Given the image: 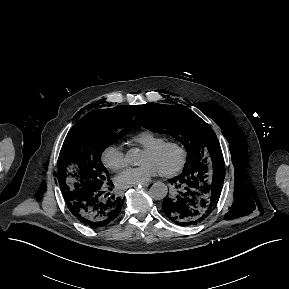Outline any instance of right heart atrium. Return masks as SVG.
Segmentation results:
<instances>
[{"label":"right heart atrium","mask_w":289,"mask_h":289,"mask_svg":"<svg viewBox=\"0 0 289 289\" xmlns=\"http://www.w3.org/2000/svg\"><path fill=\"white\" fill-rule=\"evenodd\" d=\"M103 165L111 170H119L126 165V156L118 144H110L101 153Z\"/></svg>","instance_id":"obj_1"}]
</instances>
